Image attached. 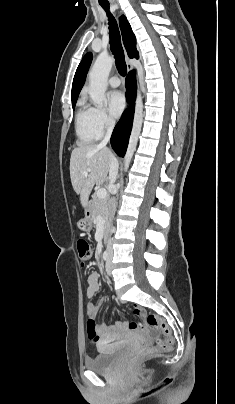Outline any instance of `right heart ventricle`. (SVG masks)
I'll return each instance as SVG.
<instances>
[{
  "mask_svg": "<svg viewBox=\"0 0 235 404\" xmlns=\"http://www.w3.org/2000/svg\"><path fill=\"white\" fill-rule=\"evenodd\" d=\"M75 134L79 145H87L98 140L101 133L94 125L92 108L81 100L75 116Z\"/></svg>",
  "mask_w": 235,
  "mask_h": 404,
  "instance_id": "obj_1",
  "label": "right heart ventricle"
}]
</instances>
